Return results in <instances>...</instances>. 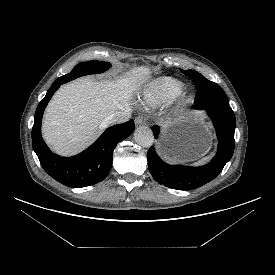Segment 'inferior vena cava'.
<instances>
[{"mask_svg":"<svg viewBox=\"0 0 275 275\" xmlns=\"http://www.w3.org/2000/svg\"><path fill=\"white\" fill-rule=\"evenodd\" d=\"M131 116V111L129 109L125 110V111H115L114 113H112L111 115H109L106 119H105V123L106 124H121V123H125L126 121H128V119Z\"/></svg>","mask_w":275,"mask_h":275,"instance_id":"1","label":"inferior vena cava"}]
</instances>
